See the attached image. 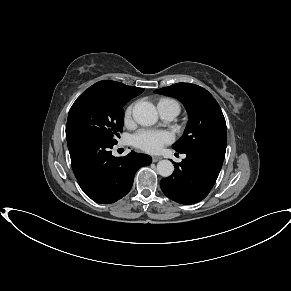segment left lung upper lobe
Segmentation results:
<instances>
[{
	"label": "left lung upper lobe",
	"mask_w": 291,
	"mask_h": 291,
	"mask_svg": "<svg viewBox=\"0 0 291 291\" xmlns=\"http://www.w3.org/2000/svg\"><path fill=\"white\" fill-rule=\"evenodd\" d=\"M155 92L180 100L189 115L183 136L173 144L174 150L179 153L198 150L225 154V118L217 101L206 89L195 84L177 83Z\"/></svg>",
	"instance_id": "1"
}]
</instances>
